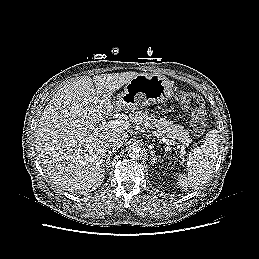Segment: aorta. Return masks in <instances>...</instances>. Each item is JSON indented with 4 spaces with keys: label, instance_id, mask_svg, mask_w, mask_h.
I'll use <instances>...</instances> for the list:
<instances>
[{
    "label": "aorta",
    "instance_id": "1",
    "mask_svg": "<svg viewBox=\"0 0 259 259\" xmlns=\"http://www.w3.org/2000/svg\"><path fill=\"white\" fill-rule=\"evenodd\" d=\"M128 155L132 159H140L143 156V150L139 146H131L128 150Z\"/></svg>",
    "mask_w": 259,
    "mask_h": 259
}]
</instances>
